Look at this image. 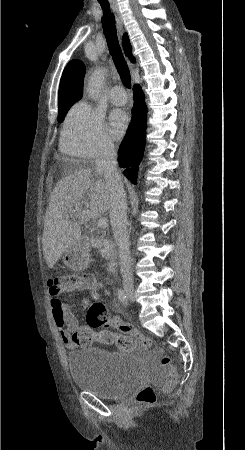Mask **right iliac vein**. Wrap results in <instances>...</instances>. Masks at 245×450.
Here are the masks:
<instances>
[{"mask_svg":"<svg viewBox=\"0 0 245 450\" xmlns=\"http://www.w3.org/2000/svg\"><path fill=\"white\" fill-rule=\"evenodd\" d=\"M125 293L130 301H134V289L132 285L126 284L124 286Z\"/></svg>","mask_w":245,"mask_h":450,"instance_id":"1","label":"right iliac vein"}]
</instances>
